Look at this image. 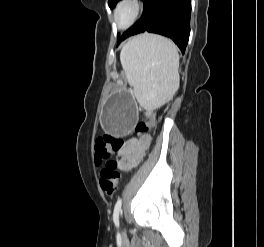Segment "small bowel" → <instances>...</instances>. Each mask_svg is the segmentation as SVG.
Here are the masks:
<instances>
[{"mask_svg":"<svg viewBox=\"0 0 264 247\" xmlns=\"http://www.w3.org/2000/svg\"><path fill=\"white\" fill-rule=\"evenodd\" d=\"M149 144L150 137L148 135H142L138 139L126 142L120 152L121 169L130 171L135 168L143 159Z\"/></svg>","mask_w":264,"mask_h":247,"instance_id":"c3829d8e","label":"small bowel"}]
</instances>
